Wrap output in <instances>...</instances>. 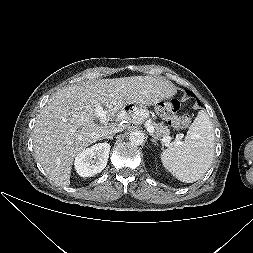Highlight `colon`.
<instances>
[{
  "instance_id": "colon-1",
  "label": "colon",
  "mask_w": 253,
  "mask_h": 253,
  "mask_svg": "<svg viewBox=\"0 0 253 253\" xmlns=\"http://www.w3.org/2000/svg\"><path fill=\"white\" fill-rule=\"evenodd\" d=\"M180 107V102L177 98L172 99L167 103V114L170 116V123L175 128L187 127L190 123V116L182 114L178 116L176 113Z\"/></svg>"
}]
</instances>
